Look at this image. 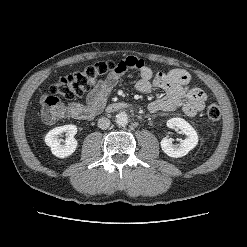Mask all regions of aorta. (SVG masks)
Returning a JSON list of instances; mask_svg holds the SVG:
<instances>
[{
    "label": "aorta",
    "instance_id": "obj_1",
    "mask_svg": "<svg viewBox=\"0 0 247 247\" xmlns=\"http://www.w3.org/2000/svg\"><path fill=\"white\" fill-rule=\"evenodd\" d=\"M116 123L120 126H125L128 124V115L125 112H120L116 115Z\"/></svg>",
    "mask_w": 247,
    "mask_h": 247
}]
</instances>
